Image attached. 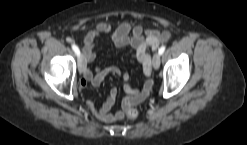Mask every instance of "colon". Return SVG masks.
<instances>
[{
  "label": "colon",
  "mask_w": 247,
  "mask_h": 145,
  "mask_svg": "<svg viewBox=\"0 0 247 145\" xmlns=\"http://www.w3.org/2000/svg\"><path fill=\"white\" fill-rule=\"evenodd\" d=\"M139 115V112L136 108L134 107H128L126 110H125V117L128 119V120H134L138 117Z\"/></svg>",
  "instance_id": "1"
}]
</instances>
